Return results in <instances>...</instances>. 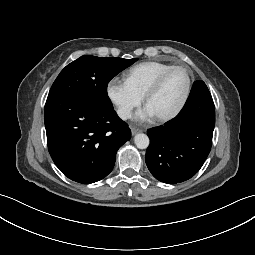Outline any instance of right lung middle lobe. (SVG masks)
<instances>
[{"mask_svg": "<svg viewBox=\"0 0 255 255\" xmlns=\"http://www.w3.org/2000/svg\"><path fill=\"white\" fill-rule=\"evenodd\" d=\"M137 59L81 56L60 72L48 96L76 95L89 99L102 108L113 109L107 95V85L114 76L132 65Z\"/></svg>", "mask_w": 255, "mask_h": 255, "instance_id": "right-lung-middle-lobe-1", "label": "right lung middle lobe"}]
</instances>
